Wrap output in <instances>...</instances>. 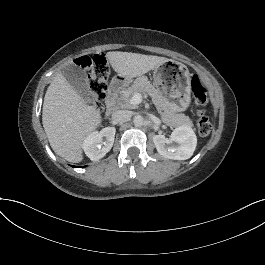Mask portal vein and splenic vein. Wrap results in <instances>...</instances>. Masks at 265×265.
Returning a JSON list of instances; mask_svg holds the SVG:
<instances>
[{"label": "portal vein and splenic vein", "instance_id": "1", "mask_svg": "<svg viewBox=\"0 0 265 265\" xmlns=\"http://www.w3.org/2000/svg\"><path fill=\"white\" fill-rule=\"evenodd\" d=\"M142 101H143V98H142L141 94H140V93H136V94H134V95L131 97L129 103H130L132 106H136V105L141 104Z\"/></svg>", "mask_w": 265, "mask_h": 265}]
</instances>
